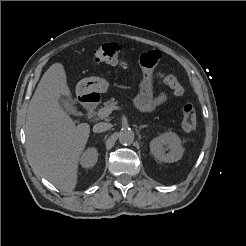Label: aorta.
I'll list each match as a JSON object with an SVG mask.
<instances>
[{
  "instance_id": "aorta-1",
  "label": "aorta",
  "mask_w": 246,
  "mask_h": 246,
  "mask_svg": "<svg viewBox=\"0 0 246 246\" xmlns=\"http://www.w3.org/2000/svg\"><path fill=\"white\" fill-rule=\"evenodd\" d=\"M119 142L123 145H130L134 141V132L129 128H123L118 135Z\"/></svg>"
}]
</instances>
